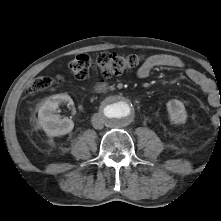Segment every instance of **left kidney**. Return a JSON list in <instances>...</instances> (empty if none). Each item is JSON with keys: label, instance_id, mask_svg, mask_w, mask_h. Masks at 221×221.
<instances>
[{"label": "left kidney", "instance_id": "5707ae66", "mask_svg": "<svg viewBox=\"0 0 221 221\" xmlns=\"http://www.w3.org/2000/svg\"><path fill=\"white\" fill-rule=\"evenodd\" d=\"M169 119L172 124H184L187 119V112L184 104L176 99L170 100L166 104Z\"/></svg>", "mask_w": 221, "mask_h": 221}]
</instances>
